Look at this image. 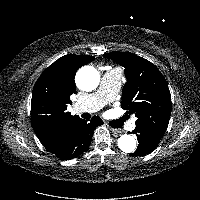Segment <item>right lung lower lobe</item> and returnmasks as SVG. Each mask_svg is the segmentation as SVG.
<instances>
[{"instance_id":"98d812e1","label":"right lung lower lobe","mask_w":200,"mask_h":200,"mask_svg":"<svg viewBox=\"0 0 200 200\" xmlns=\"http://www.w3.org/2000/svg\"><path fill=\"white\" fill-rule=\"evenodd\" d=\"M103 121L94 116L89 122L77 119L68 127L60 130L44 147L63 160L76 158L89 147L94 130Z\"/></svg>"}]
</instances>
